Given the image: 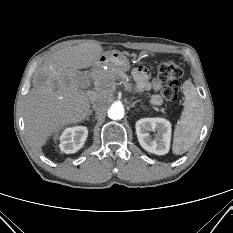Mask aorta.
I'll list each match as a JSON object with an SVG mask.
<instances>
[{"mask_svg":"<svg viewBox=\"0 0 233 233\" xmlns=\"http://www.w3.org/2000/svg\"><path fill=\"white\" fill-rule=\"evenodd\" d=\"M108 117L113 120L122 119L124 116L123 105L119 102H109L107 104Z\"/></svg>","mask_w":233,"mask_h":233,"instance_id":"762f6f07","label":"aorta"}]
</instances>
